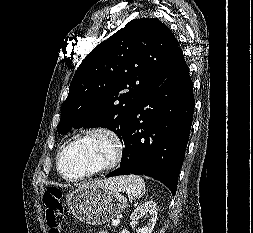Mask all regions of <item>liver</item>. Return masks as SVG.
Returning a JSON list of instances; mask_svg holds the SVG:
<instances>
[{
    "mask_svg": "<svg viewBox=\"0 0 253 233\" xmlns=\"http://www.w3.org/2000/svg\"><path fill=\"white\" fill-rule=\"evenodd\" d=\"M95 183H100V184L106 185V184H108V180H105V181H98V182H95Z\"/></svg>",
    "mask_w": 253,
    "mask_h": 233,
    "instance_id": "1",
    "label": "liver"
}]
</instances>
